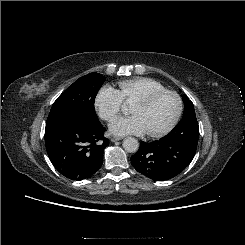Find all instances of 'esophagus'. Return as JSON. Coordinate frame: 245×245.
<instances>
[{
	"label": "esophagus",
	"mask_w": 245,
	"mask_h": 245,
	"mask_svg": "<svg viewBox=\"0 0 245 245\" xmlns=\"http://www.w3.org/2000/svg\"><path fill=\"white\" fill-rule=\"evenodd\" d=\"M119 140H121L120 137H112V138L110 139L111 142H116V141H119Z\"/></svg>",
	"instance_id": "1"
}]
</instances>
